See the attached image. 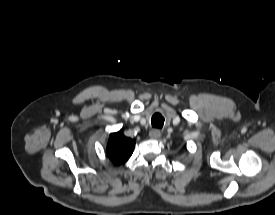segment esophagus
Instances as JSON below:
<instances>
[{
    "instance_id": "obj_1",
    "label": "esophagus",
    "mask_w": 275,
    "mask_h": 215,
    "mask_svg": "<svg viewBox=\"0 0 275 215\" xmlns=\"http://www.w3.org/2000/svg\"><path fill=\"white\" fill-rule=\"evenodd\" d=\"M160 136H161V131L158 130V129H152L149 132V137L152 138V139H159Z\"/></svg>"
}]
</instances>
